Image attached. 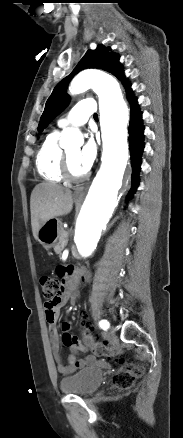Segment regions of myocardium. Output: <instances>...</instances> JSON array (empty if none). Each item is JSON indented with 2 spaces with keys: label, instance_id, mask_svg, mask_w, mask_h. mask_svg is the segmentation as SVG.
Instances as JSON below:
<instances>
[{
  "label": "myocardium",
  "instance_id": "myocardium-1",
  "mask_svg": "<svg viewBox=\"0 0 183 438\" xmlns=\"http://www.w3.org/2000/svg\"><path fill=\"white\" fill-rule=\"evenodd\" d=\"M61 175L65 181L76 183V182H81V181L85 180L88 177L89 172L87 171L84 174L79 175V176L72 174V172L70 170V163H69L68 155L64 151L62 154V159H61Z\"/></svg>",
  "mask_w": 183,
  "mask_h": 438
}]
</instances>
